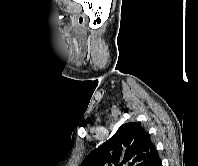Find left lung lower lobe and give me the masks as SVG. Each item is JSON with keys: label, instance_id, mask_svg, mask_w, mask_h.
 I'll return each mask as SVG.
<instances>
[{"label": "left lung lower lobe", "instance_id": "0a47b994", "mask_svg": "<svg viewBox=\"0 0 198 166\" xmlns=\"http://www.w3.org/2000/svg\"><path fill=\"white\" fill-rule=\"evenodd\" d=\"M149 166H162V161L159 158L158 154L154 157Z\"/></svg>", "mask_w": 198, "mask_h": 166}]
</instances>
